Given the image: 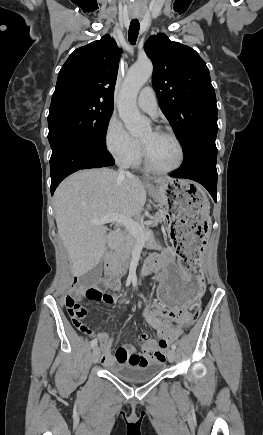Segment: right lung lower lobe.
Instances as JSON below:
<instances>
[{"mask_svg": "<svg viewBox=\"0 0 263 435\" xmlns=\"http://www.w3.org/2000/svg\"><path fill=\"white\" fill-rule=\"evenodd\" d=\"M114 159L106 147H98L80 140L61 141L50 159L51 194L59 183L80 169L112 166Z\"/></svg>", "mask_w": 263, "mask_h": 435, "instance_id": "obj_1", "label": "right lung lower lobe"}]
</instances>
